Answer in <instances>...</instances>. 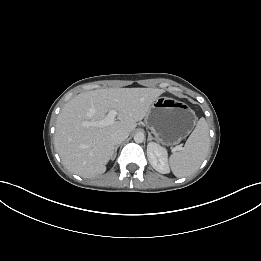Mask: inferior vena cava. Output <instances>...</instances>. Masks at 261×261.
Returning a JSON list of instances; mask_svg holds the SVG:
<instances>
[{
    "label": "inferior vena cava",
    "instance_id": "602c4592",
    "mask_svg": "<svg viewBox=\"0 0 261 261\" xmlns=\"http://www.w3.org/2000/svg\"><path fill=\"white\" fill-rule=\"evenodd\" d=\"M129 136V133L126 131H117L114 132L111 135V140L113 142L114 145H119L120 143H122L125 139H127Z\"/></svg>",
    "mask_w": 261,
    "mask_h": 261
}]
</instances>
